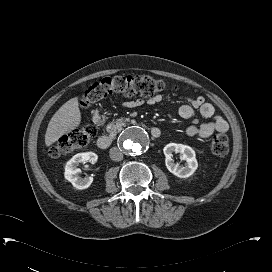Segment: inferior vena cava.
<instances>
[{"instance_id": "1", "label": "inferior vena cava", "mask_w": 272, "mask_h": 272, "mask_svg": "<svg viewBox=\"0 0 272 272\" xmlns=\"http://www.w3.org/2000/svg\"><path fill=\"white\" fill-rule=\"evenodd\" d=\"M110 158L113 161H121L123 159V153L117 147H112L109 151Z\"/></svg>"}]
</instances>
